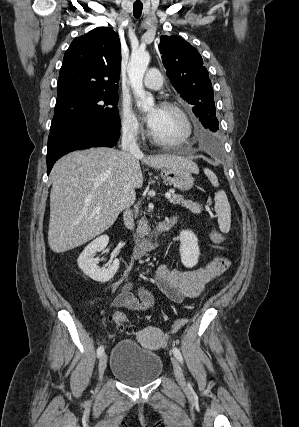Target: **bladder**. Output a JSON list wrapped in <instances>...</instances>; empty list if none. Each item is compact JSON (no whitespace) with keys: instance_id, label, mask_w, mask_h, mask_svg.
I'll return each mask as SVG.
<instances>
[{"instance_id":"1","label":"bladder","mask_w":299,"mask_h":427,"mask_svg":"<svg viewBox=\"0 0 299 427\" xmlns=\"http://www.w3.org/2000/svg\"><path fill=\"white\" fill-rule=\"evenodd\" d=\"M162 370L160 356L134 340H120L113 348L111 374L129 386L149 384L161 375Z\"/></svg>"}]
</instances>
